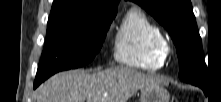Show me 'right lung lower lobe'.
Listing matches in <instances>:
<instances>
[{
  "instance_id": "1",
  "label": "right lung lower lobe",
  "mask_w": 221,
  "mask_h": 102,
  "mask_svg": "<svg viewBox=\"0 0 221 102\" xmlns=\"http://www.w3.org/2000/svg\"><path fill=\"white\" fill-rule=\"evenodd\" d=\"M40 83H42V81L41 80H35V82H34V88H36Z\"/></svg>"
}]
</instances>
